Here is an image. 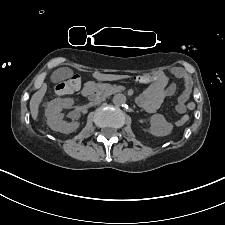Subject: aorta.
Instances as JSON below:
<instances>
[{"instance_id":"aorta-1","label":"aorta","mask_w":225,"mask_h":225,"mask_svg":"<svg viewBox=\"0 0 225 225\" xmlns=\"http://www.w3.org/2000/svg\"><path fill=\"white\" fill-rule=\"evenodd\" d=\"M127 101V98L124 94L118 93L113 97V103L115 106H124Z\"/></svg>"}]
</instances>
